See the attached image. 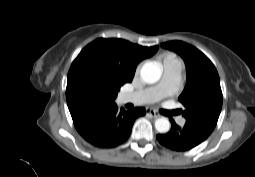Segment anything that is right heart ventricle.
Segmentation results:
<instances>
[{"label": "right heart ventricle", "mask_w": 255, "mask_h": 177, "mask_svg": "<svg viewBox=\"0 0 255 177\" xmlns=\"http://www.w3.org/2000/svg\"><path fill=\"white\" fill-rule=\"evenodd\" d=\"M161 66L165 71H181L182 61L181 59L173 52H165L160 55Z\"/></svg>", "instance_id": "obj_1"}]
</instances>
